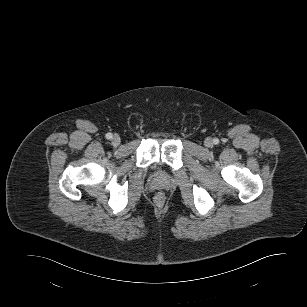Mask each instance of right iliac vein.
I'll return each instance as SVG.
<instances>
[{
	"instance_id": "obj_1",
	"label": "right iliac vein",
	"mask_w": 307,
	"mask_h": 307,
	"mask_svg": "<svg viewBox=\"0 0 307 307\" xmlns=\"http://www.w3.org/2000/svg\"><path fill=\"white\" fill-rule=\"evenodd\" d=\"M120 137L118 135H114L113 138H112V144L117 146L120 144Z\"/></svg>"
}]
</instances>
